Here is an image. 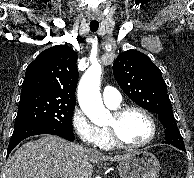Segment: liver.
<instances>
[{
    "instance_id": "obj_1",
    "label": "liver",
    "mask_w": 194,
    "mask_h": 178,
    "mask_svg": "<svg viewBox=\"0 0 194 178\" xmlns=\"http://www.w3.org/2000/svg\"><path fill=\"white\" fill-rule=\"evenodd\" d=\"M131 154L104 155L54 135L24 143L7 162V178H91L92 163L121 161Z\"/></svg>"
}]
</instances>
